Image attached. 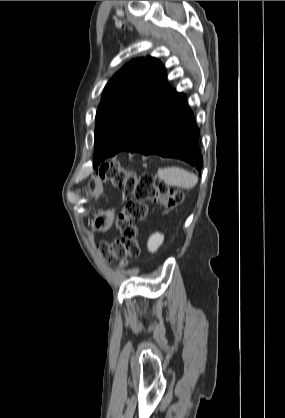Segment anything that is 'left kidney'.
Instances as JSON below:
<instances>
[{
	"mask_svg": "<svg viewBox=\"0 0 285 418\" xmlns=\"http://www.w3.org/2000/svg\"><path fill=\"white\" fill-rule=\"evenodd\" d=\"M164 241V235L156 232L154 234H152L147 242V247L148 250L152 253L156 252L158 250V248L162 245Z\"/></svg>",
	"mask_w": 285,
	"mask_h": 418,
	"instance_id": "left-kidney-1",
	"label": "left kidney"
}]
</instances>
